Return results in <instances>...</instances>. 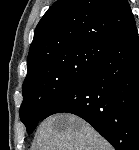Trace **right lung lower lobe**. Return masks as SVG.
Returning <instances> with one entry per match:
<instances>
[{
	"mask_svg": "<svg viewBox=\"0 0 139 150\" xmlns=\"http://www.w3.org/2000/svg\"><path fill=\"white\" fill-rule=\"evenodd\" d=\"M61 112L86 120L116 150H139V38L135 24L48 107L43 119Z\"/></svg>",
	"mask_w": 139,
	"mask_h": 150,
	"instance_id": "1",
	"label": "right lung lower lobe"
}]
</instances>
